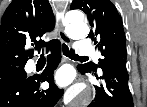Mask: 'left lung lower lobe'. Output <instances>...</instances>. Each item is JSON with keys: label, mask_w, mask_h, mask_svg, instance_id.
<instances>
[{"label": "left lung lower lobe", "mask_w": 147, "mask_h": 107, "mask_svg": "<svg viewBox=\"0 0 147 107\" xmlns=\"http://www.w3.org/2000/svg\"><path fill=\"white\" fill-rule=\"evenodd\" d=\"M103 76L84 67H78L81 73H92L97 79H103L101 87H96L95 99L88 107H134L133 98L128 86L126 59L114 58L101 66Z\"/></svg>", "instance_id": "1"}]
</instances>
